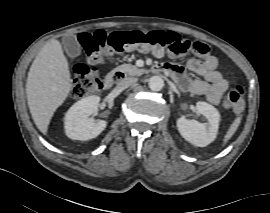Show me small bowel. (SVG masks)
Segmentation results:
<instances>
[{
	"instance_id": "1",
	"label": "small bowel",
	"mask_w": 270,
	"mask_h": 213,
	"mask_svg": "<svg viewBox=\"0 0 270 213\" xmlns=\"http://www.w3.org/2000/svg\"><path fill=\"white\" fill-rule=\"evenodd\" d=\"M217 65V58L208 49L202 59H191L187 64L188 70L201 76L203 80L184 81L183 68L177 64L162 63L157 69L172 74L182 89L204 95L210 103L218 104L221 96L228 90L229 82L217 71Z\"/></svg>"
}]
</instances>
